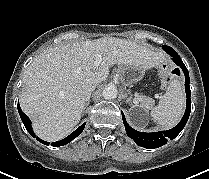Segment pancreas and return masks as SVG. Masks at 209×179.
I'll list each match as a JSON object with an SVG mask.
<instances>
[{
    "mask_svg": "<svg viewBox=\"0 0 209 179\" xmlns=\"http://www.w3.org/2000/svg\"><path fill=\"white\" fill-rule=\"evenodd\" d=\"M136 99L141 102L143 105L151 107L153 101L151 98L143 96V95H137Z\"/></svg>",
    "mask_w": 209,
    "mask_h": 179,
    "instance_id": "1",
    "label": "pancreas"
}]
</instances>
